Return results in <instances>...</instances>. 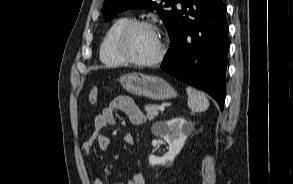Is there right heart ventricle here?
Masks as SVG:
<instances>
[{
    "label": "right heart ventricle",
    "mask_w": 293,
    "mask_h": 184,
    "mask_svg": "<svg viewBox=\"0 0 293 184\" xmlns=\"http://www.w3.org/2000/svg\"><path fill=\"white\" fill-rule=\"evenodd\" d=\"M131 21L129 17L116 19L106 31L99 47V56L103 64L110 67L123 65L125 62L117 55L114 47L118 32Z\"/></svg>",
    "instance_id": "right-heart-ventricle-1"
}]
</instances>
